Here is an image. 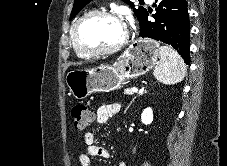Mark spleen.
Wrapping results in <instances>:
<instances>
[{
	"label": "spleen",
	"instance_id": "1",
	"mask_svg": "<svg viewBox=\"0 0 227 166\" xmlns=\"http://www.w3.org/2000/svg\"><path fill=\"white\" fill-rule=\"evenodd\" d=\"M187 67L181 56L172 47H160V61L154 69L155 78L163 84L172 85L182 81Z\"/></svg>",
	"mask_w": 227,
	"mask_h": 166
}]
</instances>
